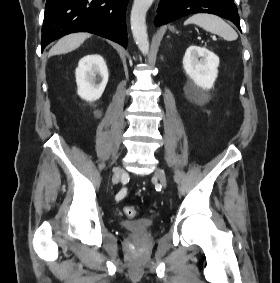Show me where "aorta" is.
I'll return each instance as SVG.
<instances>
[{
	"mask_svg": "<svg viewBox=\"0 0 280 283\" xmlns=\"http://www.w3.org/2000/svg\"><path fill=\"white\" fill-rule=\"evenodd\" d=\"M154 0H134L130 22L134 41L140 51L147 55L149 53V39L146 28V13Z\"/></svg>",
	"mask_w": 280,
	"mask_h": 283,
	"instance_id": "762f6f07",
	"label": "aorta"
}]
</instances>
